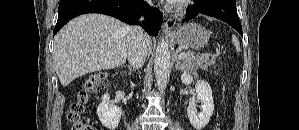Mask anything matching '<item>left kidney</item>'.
<instances>
[{"label":"left kidney","instance_id":"left-kidney-1","mask_svg":"<svg viewBox=\"0 0 299 130\" xmlns=\"http://www.w3.org/2000/svg\"><path fill=\"white\" fill-rule=\"evenodd\" d=\"M193 80L194 79L191 76V74H189V72L184 71L182 73L181 81L183 84L186 85L191 84ZM195 88H196L197 99L201 103V112L197 114L195 105L191 103L187 107V115L192 126L196 130H201L208 124L214 112V102H213L212 90L208 82L204 80H197Z\"/></svg>","mask_w":299,"mask_h":130}]
</instances>
